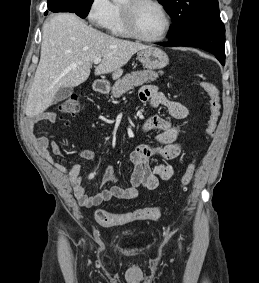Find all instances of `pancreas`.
I'll return each instance as SVG.
<instances>
[{"label":"pancreas","mask_w":259,"mask_h":283,"mask_svg":"<svg viewBox=\"0 0 259 283\" xmlns=\"http://www.w3.org/2000/svg\"><path fill=\"white\" fill-rule=\"evenodd\" d=\"M157 78L158 73L151 70L133 71L128 73L113 85L112 97L119 98L133 87L155 81Z\"/></svg>","instance_id":"cf45deb5"}]
</instances>
